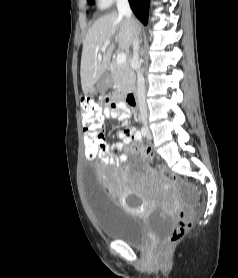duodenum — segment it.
Masks as SVG:
<instances>
[{"instance_id":"obj_1","label":"duodenum","mask_w":238,"mask_h":278,"mask_svg":"<svg viewBox=\"0 0 238 278\" xmlns=\"http://www.w3.org/2000/svg\"><path fill=\"white\" fill-rule=\"evenodd\" d=\"M127 103L131 107H135L137 105V96L135 92H130L127 95Z\"/></svg>"}]
</instances>
